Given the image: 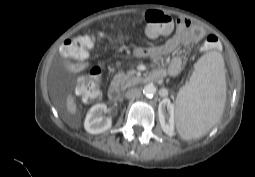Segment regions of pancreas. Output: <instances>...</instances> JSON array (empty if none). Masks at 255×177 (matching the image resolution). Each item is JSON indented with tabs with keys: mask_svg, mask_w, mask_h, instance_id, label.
<instances>
[{
	"mask_svg": "<svg viewBox=\"0 0 255 177\" xmlns=\"http://www.w3.org/2000/svg\"><path fill=\"white\" fill-rule=\"evenodd\" d=\"M139 81L140 79L136 76L125 74L124 72H119L114 76L111 85L115 88L125 90L128 87L136 85Z\"/></svg>",
	"mask_w": 255,
	"mask_h": 177,
	"instance_id": "obj_1",
	"label": "pancreas"
}]
</instances>
